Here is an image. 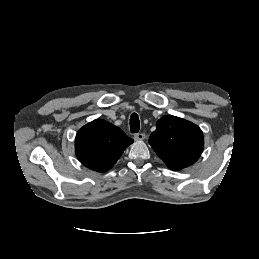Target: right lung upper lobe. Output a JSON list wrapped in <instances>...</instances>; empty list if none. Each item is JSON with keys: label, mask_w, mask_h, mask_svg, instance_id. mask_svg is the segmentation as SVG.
Segmentation results:
<instances>
[{"label": "right lung upper lobe", "mask_w": 259, "mask_h": 259, "mask_svg": "<svg viewBox=\"0 0 259 259\" xmlns=\"http://www.w3.org/2000/svg\"><path fill=\"white\" fill-rule=\"evenodd\" d=\"M133 140L102 119L83 126L75 139V154L86 167L104 172L111 169Z\"/></svg>", "instance_id": "1"}]
</instances>
